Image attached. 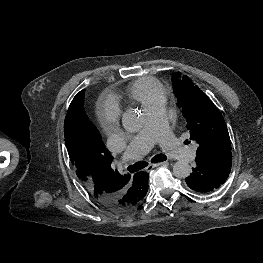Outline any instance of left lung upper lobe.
<instances>
[{
	"label": "left lung upper lobe",
	"instance_id": "5c2ea615",
	"mask_svg": "<svg viewBox=\"0 0 263 263\" xmlns=\"http://www.w3.org/2000/svg\"><path fill=\"white\" fill-rule=\"evenodd\" d=\"M172 82L177 105L190 130V138L199 144L196 155L201 157L220 150H231L225 121L208 96L194 86L189 77L180 73L173 74Z\"/></svg>",
	"mask_w": 263,
	"mask_h": 263
}]
</instances>
